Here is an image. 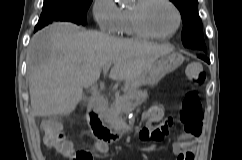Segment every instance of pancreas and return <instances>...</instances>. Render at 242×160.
<instances>
[{
	"label": "pancreas",
	"mask_w": 242,
	"mask_h": 160,
	"mask_svg": "<svg viewBox=\"0 0 242 160\" xmlns=\"http://www.w3.org/2000/svg\"><path fill=\"white\" fill-rule=\"evenodd\" d=\"M148 98L147 91L132 90L124 95L115 96L114 101L104 113V121L116 131L126 128L124 113L130 108L142 104Z\"/></svg>",
	"instance_id": "1"
}]
</instances>
